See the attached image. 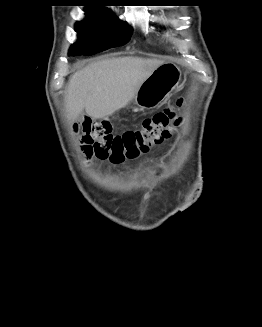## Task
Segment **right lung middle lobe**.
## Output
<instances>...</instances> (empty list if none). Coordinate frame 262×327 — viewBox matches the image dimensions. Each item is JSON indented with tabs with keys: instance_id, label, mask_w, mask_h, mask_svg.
<instances>
[{
	"instance_id": "1",
	"label": "right lung middle lobe",
	"mask_w": 262,
	"mask_h": 327,
	"mask_svg": "<svg viewBox=\"0 0 262 327\" xmlns=\"http://www.w3.org/2000/svg\"><path fill=\"white\" fill-rule=\"evenodd\" d=\"M87 19L75 25L79 41L74 44L69 55H92L110 47L126 44L130 40L132 29L113 18L106 11H85Z\"/></svg>"
}]
</instances>
